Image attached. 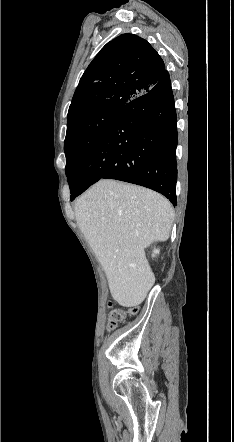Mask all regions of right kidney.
Wrapping results in <instances>:
<instances>
[{"instance_id":"1","label":"right kidney","mask_w":234,"mask_h":442,"mask_svg":"<svg viewBox=\"0 0 234 442\" xmlns=\"http://www.w3.org/2000/svg\"><path fill=\"white\" fill-rule=\"evenodd\" d=\"M157 254H159V249H154V251H153V257H154L155 255H157Z\"/></svg>"}]
</instances>
